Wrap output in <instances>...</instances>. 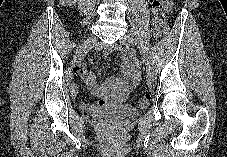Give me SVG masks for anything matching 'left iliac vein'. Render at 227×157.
Masks as SVG:
<instances>
[{"instance_id": "left-iliac-vein-1", "label": "left iliac vein", "mask_w": 227, "mask_h": 157, "mask_svg": "<svg viewBox=\"0 0 227 157\" xmlns=\"http://www.w3.org/2000/svg\"><path fill=\"white\" fill-rule=\"evenodd\" d=\"M135 34H136L135 32L130 31L127 35L122 37L119 42L127 47L133 46L138 42L135 37L136 36ZM143 61L146 65L147 77L150 81H153L155 79L154 68L147 58L144 57Z\"/></svg>"}]
</instances>
